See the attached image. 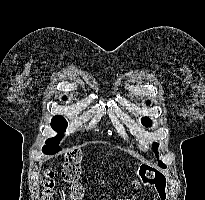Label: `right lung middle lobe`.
<instances>
[{
	"label": "right lung middle lobe",
	"mask_w": 205,
	"mask_h": 200,
	"mask_svg": "<svg viewBox=\"0 0 205 200\" xmlns=\"http://www.w3.org/2000/svg\"><path fill=\"white\" fill-rule=\"evenodd\" d=\"M63 100H66V97H63ZM51 127L59 134L54 138L47 139V141L45 142L46 145L43 147V150L56 153L61 150L59 143L64 136L63 132L67 128V121L60 115L54 116L51 120Z\"/></svg>",
	"instance_id": "obj_1"
}]
</instances>
